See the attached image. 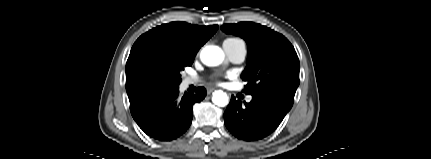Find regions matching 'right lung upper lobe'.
<instances>
[{
	"mask_svg": "<svg viewBox=\"0 0 431 159\" xmlns=\"http://www.w3.org/2000/svg\"><path fill=\"white\" fill-rule=\"evenodd\" d=\"M218 27L171 22L141 35L132 46L126 63V91L130 104L150 92L162 89L149 78L142 66V56L145 52L158 50L195 58L198 50L213 36Z\"/></svg>",
	"mask_w": 431,
	"mask_h": 159,
	"instance_id": "cb5924a9",
	"label": "right lung upper lobe"
}]
</instances>
